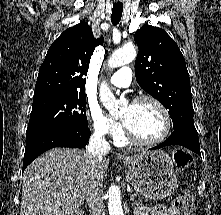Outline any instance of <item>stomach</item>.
Segmentation results:
<instances>
[{
	"label": "stomach",
	"instance_id": "1",
	"mask_svg": "<svg viewBox=\"0 0 221 215\" xmlns=\"http://www.w3.org/2000/svg\"><path fill=\"white\" fill-rule=\"evenodd\" d=\"M121 159L126 166V180L146 198L164 199L178 187L173 160L164 151H144Z\"/></svg>",
	"mask_w": 221,
	"mask_h": 215
}]
</instances>
